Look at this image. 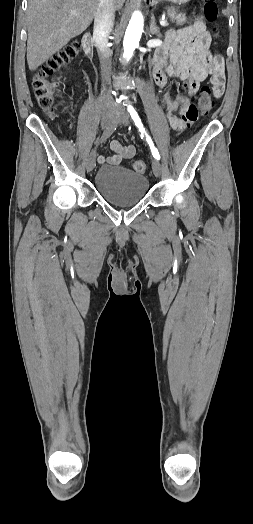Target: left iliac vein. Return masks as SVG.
I'll list each match as a JSON object with an SVG mask.
<instances>
[{
    "label": "left iliac vein",
    "mask_w": 253,
    "mask_h": 524,
    "mask_svg": "<svg viewBox=\"0 0 253 524\" xmlns=\"http://www.w3.org/2000/svg\"><path fill=\"white\" fill-rule=\"evenodd\" d=\"M114 120H117L120 124H123V125H127L128 124V122H129L128 115L126 114V112L124 111V109L122 107L118 108V111H117V114L114 117ZM152 169H153L154 175L156 177H160L161 172H162V165L159 162V160L154 159L152 161Z\"/></svg>",
    "instance_id": "left-iliac-vein-1"
}]
</instances>
